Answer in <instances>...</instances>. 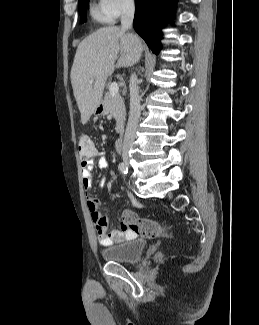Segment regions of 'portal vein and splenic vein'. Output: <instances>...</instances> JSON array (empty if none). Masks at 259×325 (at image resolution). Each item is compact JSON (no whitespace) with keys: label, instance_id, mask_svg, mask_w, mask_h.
Wrapping results in <instances>:
<instances>
[{"label":"portal vein and splenic vein","instance_id":"1","mask_svg":"<svg viewBox=\"0 0 259 325\" xmlns=\"http://www.w3.org/2000/svg\"><path fill=\"white\" fill-rule=\"evenodd\" d=\"M119 85L116 82H112L109 86V91L112 96H115L118 93Z\"/></svg>","mask_w":259,"mask_h":325}]
</instances>
